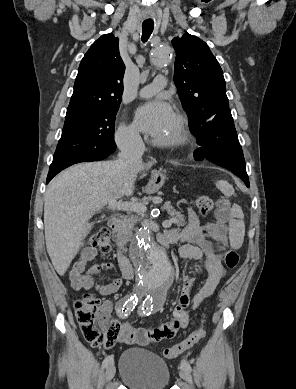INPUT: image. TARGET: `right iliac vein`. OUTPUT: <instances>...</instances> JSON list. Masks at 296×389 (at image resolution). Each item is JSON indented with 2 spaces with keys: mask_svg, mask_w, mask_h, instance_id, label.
Here are the masks:
<instances>
[{
  "mask_svg": "<svg viewBox=\"0 0 296 389\" xmlns=\"http://www.w3.org/2000/svg\"><path fill=\"white\" fill-rule=\"evenodd\" d=\"M114 375H115V366L113 365V363H111L106 368V372H105L106 381H110L114 377Z\"/></svg>",
  "mask_w": 296,
  "mask_h": 389,
  "instance_id": "right-iliac-vein-1",
  "label": "right iliac vein"
}]
</instances>
